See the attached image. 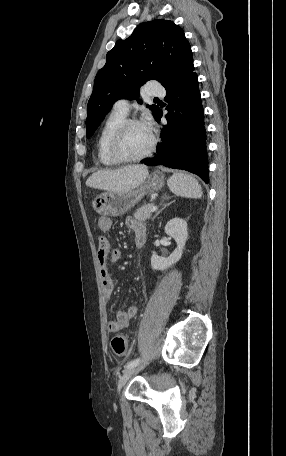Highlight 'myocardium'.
Here are the masks:
<instances>
[{
    "mask_svg": "<svg viewBox=\"0 0 286 456\" xmlns=\"http://www.w3.org/2000/svg\"><path fill=\"white\" fill-rule=\"evenodd\" d=\"M133 125H144V126L148 127V129L150 131V136H151V143H150L148 150L141 156L134 157V158H128V157L123 156L120 153L119 143H120V140H121L123 134L125 133V131ZM156 145H157V137H156L155 133L153 132V130L149 127V125L146 122H144L140 119H136V118H126L116 128V130L112 134L110 141H109L108 149H109V154L111 155V157L118 163H133V162H140V161L148 158L149 156H151L152 153L156 149Z\"/></svg>",
    "mask_w": 286,
    "mask_h": 456,
    "instance_id": "1",
    "label": "myocardium"
}]
</instances>
